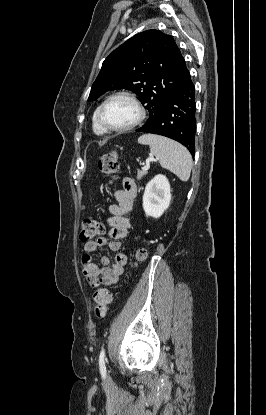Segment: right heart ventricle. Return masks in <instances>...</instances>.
Wrapping results in <instances>:
<instances>
[{
  "mask_svg": "<svg viewBox=\"0 0 266 415\" xmlns=\"http://www.w3.org/2000/svg\"><path fill=\"white\" fill-rule=\"evenodd\" d=\"M99 108L100 106H98L92 116V129L93 132L97 135H103L106 133V130L101 126V124L99 123V119H98V114H99Z\"/></svg>",
  "mask_w": 266,
  "mask_h": 415,
  "instance_id": "e07e8e85",
  "label": "right heart ventricle"
}]
</instances>
